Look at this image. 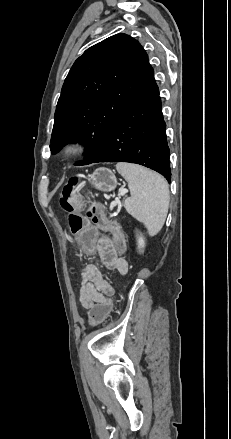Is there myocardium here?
<instances>
[{"mask_svg": "<svg viewBox=\"0 0 231 439\" xmlns=\"http://www.w3.org/2000/svg\"><path fill=\"white\" fill-rule=\"evenodd\" d=\"M86 145L83 141L72 140L63 145L61 154L65 159H74L84 153Z\"/></svg>", "mask_w": 231, "mask_h": 439, "instance_id": "f54148a6", "label": "myocardium"}]
</instances>
